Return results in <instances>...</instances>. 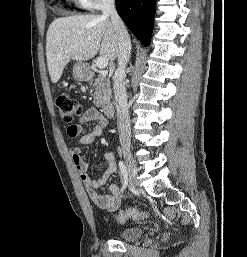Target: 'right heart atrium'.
I'll return each instance as SVG.
<instances>
[{
	"label": "right heart atrium",
	"mask_w": 247,
	"mask_h": 257,
	"mask_svg": "<svg viewBox=\"0 0 247 257\" xmlns=\"http://www.w3.org/2000/svg\"><path fill=\"white\" fill-rule=\"evenodd\" d=\"M83 8L93 11L99 9L108 0H76Z\"/></svg>",
	"instance_id": "d8ad5b80"
}]
</instances>
